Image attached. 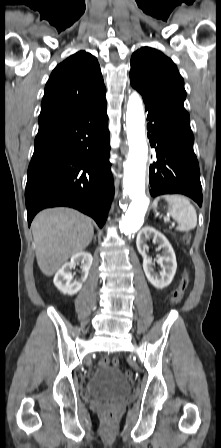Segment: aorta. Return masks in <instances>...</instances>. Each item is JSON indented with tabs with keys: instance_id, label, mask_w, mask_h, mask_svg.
I'll use <instances>...</instances> for the list:
<instances>
[{
	"instance_id": "obj_1",
	"label": "aorta",
	"mask_w": 221,
	"mask_h": 448,
	"mask_svg": "<svg viewBox=\"0 0 221 448\" xmlns=\"http://www.w3.org/2000/svg\"><path fill=\"white\" fill-rule=\"evenodd\" d=\"M145 116L142 99L137 92L129 96L126 112L129 153L124 164L123 188L132 200L119 221L122 233L137 231L143 224L149 205L145 193V170L148 145L145 139Z\"/></svg>"
}]
</instances>
